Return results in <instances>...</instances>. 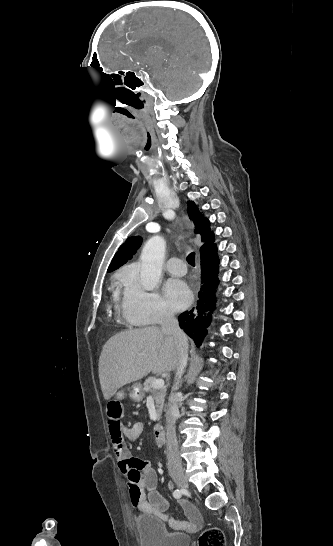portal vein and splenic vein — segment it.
I'll list each match as a JSON object with an SVG mask.
<instances>
[{
    "label": "portal vein and splenic vein",
    "mask_w": 333,
    "mask_h": 546,
    "mask_svg": "<svg viewBox=\"0 0 333 546\" xmlns=\"http://www.w3.org/2000/svg\"><path fill=\"white\" fill-rule=\"evenodd\" d=\"M165 384V381L163 378L155 379L152 383L153 388H163Z\"/></svg>",
    "instance_id": "18ae733b"
}]
</instances>
